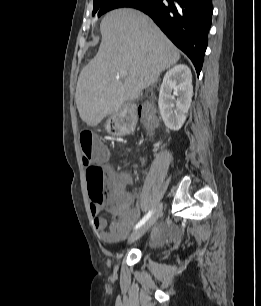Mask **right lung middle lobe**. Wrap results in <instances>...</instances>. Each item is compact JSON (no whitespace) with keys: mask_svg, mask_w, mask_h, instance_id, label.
Here are the masks:
<instances>
[{"mask_svg":"<svg viewBox=\"0 0 261 306\" xmlns=\"http://www.w3.org/2000/svg\"><path fill=\"white\" fill-rule=\"evenodd\" d=\"M93 14L101 16L102 14L119 7H130L139 0H93Z\"/></svg>","mask_w":261,"mask_h":306,"instance_id":"right-lung-middle-lobe-1","label":"right lung middle lobe"}]
</instances>
